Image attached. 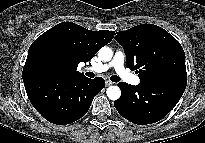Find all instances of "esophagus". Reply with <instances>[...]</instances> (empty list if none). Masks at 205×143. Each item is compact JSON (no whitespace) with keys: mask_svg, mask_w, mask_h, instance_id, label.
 <instances>
[{"mask_svg":"<svg viewBox=\"0 0 205 143\" xmlns=\"http://www.w3.org/2000/svg\"><path fill=\"white\" fill-rule=\"evenodd\" d=\"M114 83L110 80H106V86H110V85H113Z\"/></svg>","mask_w":205,"mask_h":143,"instance_id":"1","label":"esophagus"}]
</instances>
